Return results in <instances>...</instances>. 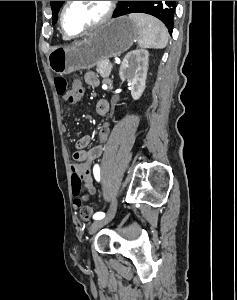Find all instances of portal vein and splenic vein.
I'll return each mask as SVG.
<instances>
[{
  "label": "portal vein and splenic vein",
  "instance_id": "portal-vein-and-splenic-vein-1",
  "mask_svg": "<svg viewBox=\"0 0 237 300\" xmlns=\"http://www.w3.org/2000/svg\"><path fill=\"white\" fill-rule=\"evenodd\" d=\"M107 64H108V65H107L106 67H107L108 69H109V68H112V65H111L112 63H111V62H108Z\"/></svg>",
  "mask_w": 237,
  "mask_h": 300
}]
</instances>
